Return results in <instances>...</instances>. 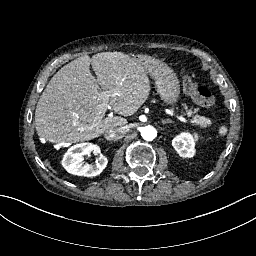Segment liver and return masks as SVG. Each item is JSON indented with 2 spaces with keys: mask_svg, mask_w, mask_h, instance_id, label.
Listing matches in <instances>:
<instances>
[{
  "mask_svg": "<svg viewBox=\"0 0 256 256\" xmlns=\"http://www.w3.org/2000/svg\"><path fill=\"white\" fill-rule=\"evenodd\" d=\"M103 91L110 96L101 94ZM149 92L147 65L140 59L116 51L79 57L63 66L40 96L35 110L37 134L52 143L92 140L127 124L121 116L103 119L105 113L96 124L102 104L104 111L110 106L122 116H131Z\"/></svg>",
  "mask_w": 256,
  "mask_h": 256,
  "instance_id": "obj_1",
  "label": "liver"
}]
</instances>
